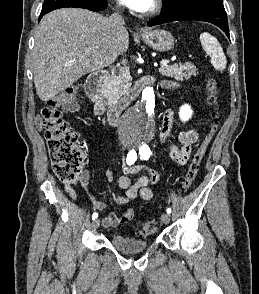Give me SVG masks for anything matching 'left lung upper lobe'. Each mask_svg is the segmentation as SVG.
Masks as SVG:
<instances>
[{
    "mask_svg": "<svg viewBox=\"0 0 259 294\" xmlns=\"http://www.w3.org/2000/svg\"><path fill=\"white\" fill-rule=\"evenodd\" d=\"M203 1V0H163V8L161 14L169 13L180 8L189 6L193 3ZM219 3H223L222 0H211Z\"/></svg>",
    "mask_w": 259,
    "mask_h": 294,
    "instance_id": "5c2ea615",
    "label": "left lung upper lobe"
}]
</instances>
